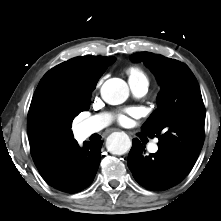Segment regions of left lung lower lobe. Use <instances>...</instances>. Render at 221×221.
Listing matches in <instances>:
<instances>
[{"label": "left lung lower lobe", "instance_id": "1", "mask_svg": "<svg viewBox=\"0 0 221 221\" xmlns=\"http://www.w3.org/2000/svg\"><path fill=\"white\" fill-rule=\"evenodd\" d=\"M145 148L138 139L128 156V167L135 180L149 190H167L188 174L187 171L167 152L158 149L154 154L144 155Z\"/></svg>", "mask_w": 221, "mask_h": 221}]
</instances>
